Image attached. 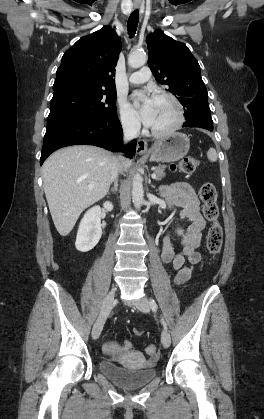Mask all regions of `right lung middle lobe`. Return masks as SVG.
I'll use <instances>...</instances> for the list:
<instances>
[{
  "instance_id": "obj_1",
  "label": "right lung middle lobe",
  "mask_w": 264,
  "mask_h": 419,
  "mask_svg": "<svg viewBox=\"0 0 264 419\" xmlns=\"http://www.w3.org/2000/svg\"><path fill=\"white\" fill-rule=\"evenodd\" d=\"M115 115H117L115 90L67 85L54 90L47 129L69 117Z\"/></svg>"
}]
</instances>
